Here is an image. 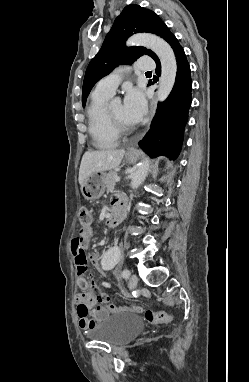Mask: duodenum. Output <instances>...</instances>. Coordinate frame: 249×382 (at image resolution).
Segmentation results:
<instances>
[{"instance_id":"obj_1","label":"duodenum","mask_w":249,"mask_h":382,"mask_svg":"<svg viewBox=\"0 0 249 382\" xmlns=\"http://www.w3.org/2000/svg\"><path fill=\"white\" fill-rule=\"evenodd\" d=\"M126 216V203L124 200H118L113 204L111 214L107 218V226H111L114 223H119L124 220Z\"/></svg>"}]
</instances>
